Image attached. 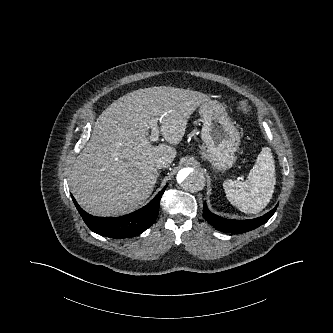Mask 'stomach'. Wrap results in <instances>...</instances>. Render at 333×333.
<instances>
[{
    "label": "stomach",
    "mask_w": 333,
    "mask_h": 333,
    "mask_svg": "<svg viewBox=\"0 0 333 333\" xmlns=\"http://www.w3.org/2000/svg\"><path fill=\"white\" fill-rule=\"evenodd\" d=\"M199 113L203 123L202 157L217 170L231 168L240 145V134L229 118L225 106L217 100L209 99L200 105Z\"/></svg>",
    "instance_id": "1"
}]
</instances>
